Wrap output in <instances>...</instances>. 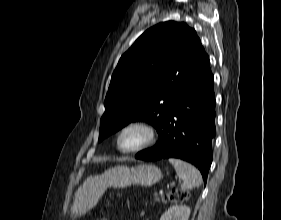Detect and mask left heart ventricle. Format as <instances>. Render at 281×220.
<instances>
[{
	"mask_svg": "<svg viewBox=\"0 0 281 220\" xmlns=\"http://www.w3.org/2000/svg\"><path fill=\"white\" fill-rule=\"evenodd\" d=\"M144 139V133L139 129L127 131L120 139L122 149H131L140 144Z\"/></svg>",
	"mask_w": 281,
	"mask_h": 220,
	"instance_id": "1",
	"label": "left heart ventricle"
}]
</instances>
